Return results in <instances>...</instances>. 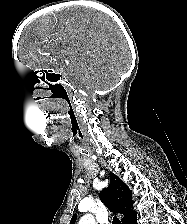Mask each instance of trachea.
Here are the masks:
<instances>
[{
  "instance_id": "3493384b",
  "label": "trachea",
  "mask_w": 187,
  "mask_h": 224,
  "mask_svg": "<svg viewBox=\"0 0 187 224\" xmlns=\"http://www.w3.org/2000/svg\"><path fill=\"white\" fill-rule=\"evenodd\" d=\"M113 224H121V221L117 217H114Z\"/></svg>"
}]
</instances>
